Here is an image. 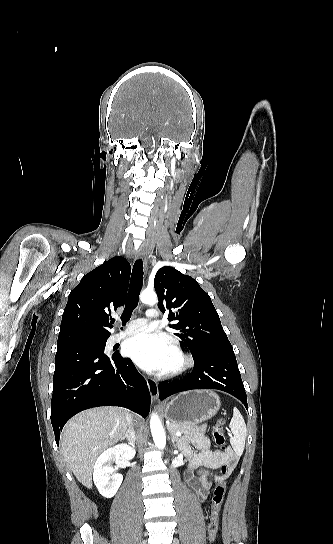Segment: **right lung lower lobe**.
Returning <instances> with one entry per match:
<instances>
[{"label":"right lung lower lobe","instance_id":"right-lung-lower-lobe-1","mask_svg":"<svg viewBox=\"0 0 333 544\" xmlns=\"http://www.w3.org/2000/svg\"><path fill=\"white\" fill-rule=\"evenodd\" d=\"M95 341L58 347L55 356L51 423L60 432L75 414L98 406L126 407L146 417L150 410L147 383L129 358L104 355Z\"/></svg>","mask_w":333,"mask_h":544}]
</instances>
